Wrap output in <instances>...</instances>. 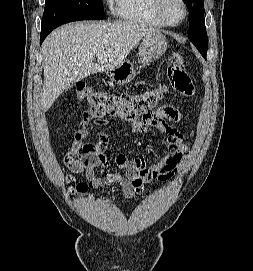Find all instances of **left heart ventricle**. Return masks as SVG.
Returning <instances> with one entry per match:
<instances>
[{
    "label": "left heart ventricle",
    "instance_id": "b2bd125f",
    "mask_svg": "<svg viewBox=\"0 0 253 271\" xmlns=\"http://www.w3.org/2000/svg\"><path fill=\"white\" fill-rule=\"evenodd\" d=\"M164 9L173 22H178L183 17V7L179 0H165Z\"/></svg>",
    "mask_w": 253,
    "mask_h": 271
}]
</instances>
